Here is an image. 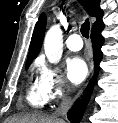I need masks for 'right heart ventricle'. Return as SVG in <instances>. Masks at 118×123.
<instances>
[{
    "label": "right heart ventricle",
    "instance_id": "1",
    "mask_svg": "<svg viewBox=\"0 0 118 123\" xmlns=\"http://www.w3.org/2000/svg\"><path fill=\"white\" fill-rule=\"evenodd\" d=\"M27 101L36 108H42L48 102L38 80H35L30 84L27 91Z\"/></svg>",
    "mask_w": 118,
    "mask_h": 123
}]
</instances>
